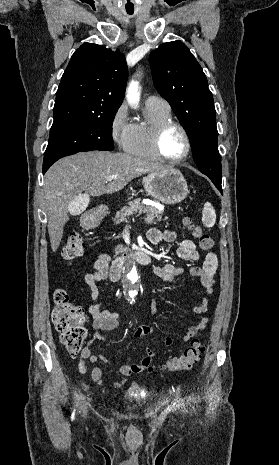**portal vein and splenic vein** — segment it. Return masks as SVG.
<instances>
[{
    "mask_svg": "<svg viewBox=\"0 0 279 465\" xmlns=\"http://www.w3.org/2000/svg\"><path fill=\"white\" fill-rule=\"evenodd\" d=\"M115 178H116V176H109V177L107 178V180H108V181H112V180L115 179Z\"/></svg>",
    "mask_w": 279,
    "mask_h": 465,
    "instance_id": "18ae733b",
    "label": "portal vein and splenic vein"
}]
</instances>
